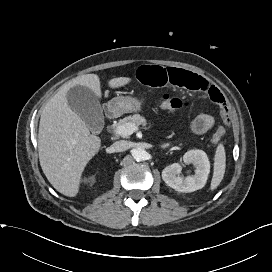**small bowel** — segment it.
Segmentation results:
<instances>
[{"instance_id":"1","label":"small bowel","mask_w":272,"mask_h":272,"mask_svg":"<svg viewBox=\"0 0 272 272\" xmlns=\"http://www.w3.org/2000/svg\"><path fill=\"white\" fill-rule=\"evenodd\" d=\"M137 80L146 86H174L201 91L222 108V116L227 118L225 99L221 91L203 77L179 68L162 67L155 65H143L136 71ZM214 125V118L208 114L196 116L190 123L189 128L192 133L203 134Z\"/></svg>"}]
</instances>
